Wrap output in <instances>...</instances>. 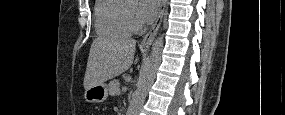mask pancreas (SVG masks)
Returning <instances> with one entry per match:
<instances>
[{
    "label": "pancreas",
    "instance_id": "pancreas-1",
    "mask_svg": "<svg viewBox=\"0 0 285 115\" xmlns=\"http://www.w3.org/2000/svg\"><path fill=\"white\" fill-rule=\"evenodd\" d=\"M119 86H120L119 80L115 79V80L110 81V83L108 85L109 94L112 96L118 94L119 93Z\"/></svg>",
    "mask_w": 285,
    "mask_h": 115
}]
</instances>
